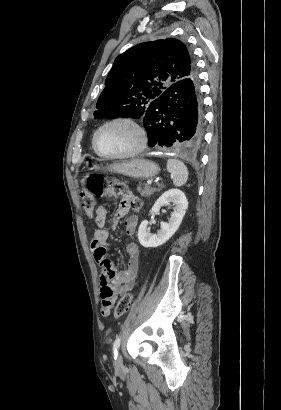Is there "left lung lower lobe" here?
Wrapping results in <instances>:
<instances>
[{"mask_svg":"<svg viewBox=\"0 0 281 410\" xmlns=\"http://www.w3.org/2000/svg\"><path fill=\"white\" fill-rule=\"evenodd\" d=\"M142 121L151 147H199L203 139V112L197 75L170 85L149 104Z\"/></svg>","mask_w":281,"mask_h":410,"instance_id":"0a47b994","label":"left lung lower lobe"}]
</instances>
